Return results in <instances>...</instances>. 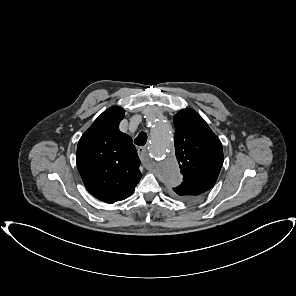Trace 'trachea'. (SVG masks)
<instances>
[{"mask_svg":"<svg viewBox=\"0 0 296 296\" xmlns=\"http://www.w3.org/2000/svg\"><path fill=\"white\" fill-rule=\"evenodd\" d=\"M147 142V134L145 132H140L135 138L134 143L138 146H143Z\"/></svg>","mask_w":296,"mask_h":296,"instance_id":"obj_1","label":"trachea"}]
</instances>
